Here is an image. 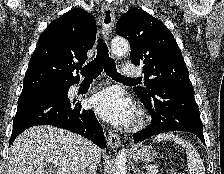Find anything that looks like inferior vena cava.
Instances as JSON below:
<instances>
[{
  "mask_svg": "<svg viewBox=\"0 0 224 174\" xmlns=\"http://www.w3.org/2000/svg\"><path fill=\"white\" fill-rule=\"evenodd\" d=\"M99 149L88 142L82 152L80 163L77 167V174H97V156Z\"/></svg>",
  "mask_w": 224,
  "mask_h": 174,
  "instance_id": "1",
  "label": "inferior vena cava"
}]
</instances>
